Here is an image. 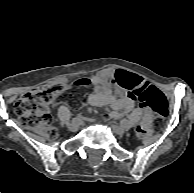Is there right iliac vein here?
I'll use <instances>...</instances> for the list:
<instances>
[{"label": "right iliac vein", "mask_w": 194, "mask_h": 193, "mask_svg": "<svg viewBox=\"0 0 194 193\" xmlns=\"http://www.w3.org/2000/svg\"><path fill=\"white\" fill-rule=\"evenodd\" d=\"M81 124V121H77V122H71L69 125H68V128L69 130L71 131H77L79 126Z\"/></svg>", "instance_id": "obj_1"}]
</instances>
